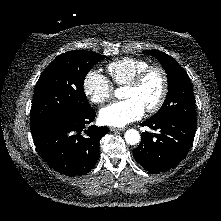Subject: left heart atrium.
<instances>
[{
	"label": "left heart atrium",
	"instance_id": "obj_1",
	"mask_svg": "<svg viewBox=\"0 0 221 221\" xmlns=\"http://www.w3.org/2000/svg\"><path fill=\"white\" fill-rule=\"evenodd\" d=\"M145 108L135 98L114 102L99 112L100 121L109 126L123 127L133 121L140 119Z\"/></svg>",
	"mask_w": 221,
	"mask_h": 221
}]
</instances>
